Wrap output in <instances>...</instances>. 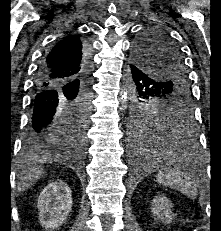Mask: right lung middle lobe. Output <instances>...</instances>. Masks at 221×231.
I'll return each instance as SVG.
<instances>
[{
    "instance_id": "1",
    "label": "right lung middle lobe",
    "mask_w": 221,
    "mask_h": 231,
    "mask_svg": "<svg viewBox=\"0 0 221 231\" xmlns=\"http://www.w3.org/2000/svg\"><path fill=\"white\" fill-rule=\"evenodd\" d=\"M89 110L90 102L84 104L81 101L68 109L64 114L65 130L71 137L84 145L86 143Z\"/></svg>"
}]
</instances>
